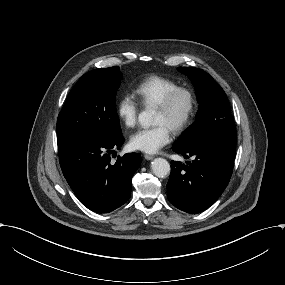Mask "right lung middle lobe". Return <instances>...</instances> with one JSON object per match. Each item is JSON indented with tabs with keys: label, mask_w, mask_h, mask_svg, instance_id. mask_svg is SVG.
I'll list each match as a JSON object with an SVG mask.
<instances>
[{
	"label": "right lung middle lobe",
	"mask_w": 285,
	"mask_h": 285,
	"mask_svg": "<svg viewBox=\"0 0 285 285\" xmlns=\"http://www.w3.org/2000/svg\"><path fill=\"white\" fill-rule=\"evenodd\" d=\"M121 78L118 66L84 74L70 91L58 115L57 140L122 136L115 99Z\"/></svg>",
	"instance_id": "obj_1"
}]
</instances>
